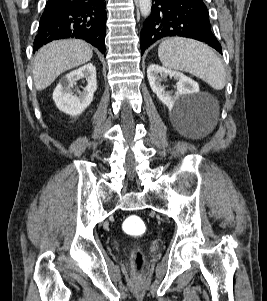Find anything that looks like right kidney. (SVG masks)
I'll return each instance as SVG.
<instances>
[{"instance_id": "1", "label": "right kidney", "mask_w": 267, "mask_h": 301, "mask_svg": "<svg viewBox=\"0 0 267 301\" xmlns=\"http://www.w3.org/2000/svg\"><path fill=\"white\" fill-rule=\"evenodd\" d=\"M80 79H86L87 85L82 92L74 93L72 88ZM96 89V68L88 63L66 75L64 81L55 88L53 100L60 111L77 116L91 104Z\"/></svg>"}]
</instances>
